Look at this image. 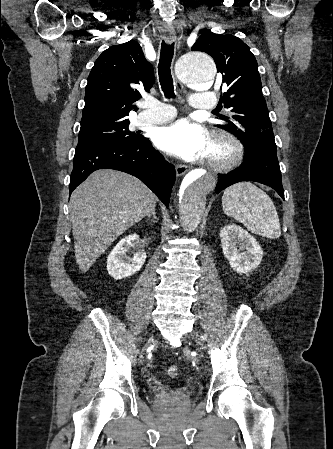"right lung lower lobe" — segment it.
<instances>
[{"label":"right lung lower lobe","instance_id":"right-lung-lower-lobe-1","mask_svg":"<svg viewBox=\"0 0 333 449\" xmlns=\"http://www.w3.org/2000/svg\"><path fill=\"white\" fill-rule=\"evenodd\" d=\"M111 168L129 173L145 183L168 207L176 172L148 138L137 144L91 142L78 144L69 191L82 183L93 171Z\"/></svg>","mask_w":333,"mask_h":449}]
</instances>
